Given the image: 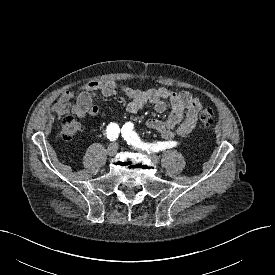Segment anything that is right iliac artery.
Returning a JSON list of instances; mask_svg holds the SVG:
<instances>
[{
	"mask_svg": "<svg viewBox=\"0 0 275 275\" xmlns=\"http://www.w3.org/2000/svg\"><path fill=\"white\" fill-rule=\"evenodd\" d=\"M119 133H120V128L118 124L110 123L107 126V129H106L107 138L110 139L111 141L116 140L119 136Z\"/></svg>",
	"mask_w": 275,
	"mask_h": 275,
	"instance_id": "obj_1",
	"label": "right iliac artery"
}]
</instances>
